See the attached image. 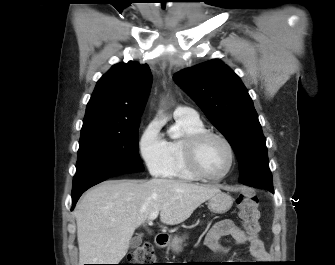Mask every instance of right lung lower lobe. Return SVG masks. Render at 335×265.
Listing matches in <instances>:
<instances>
[{"instance_id":"1","label":"right lung lower lobe","mask_w":335,"mask_h":265,"mask_svg":"<svg viewBox=\"0 0 335 265\" xmlns=\"http://www.w3.org/2000/svg\"><path fill=\"white\" fill-rule=\"evenodd\" d=\"M107 178L104 179H99L96 181H93L89 184H86L82 187H80L77 190L72 191V209L75 207V204L77 203L78 199L80 198V196L82 195L83 192H85L88 188L92 187L93 185H96L104 180H106Z\"/></svg>"}]
</instances>
